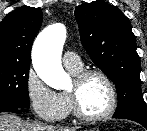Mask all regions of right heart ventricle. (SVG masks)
Returning <instances> with one entry per match:
<instances>
[{"label":"right heart ventricle","mask_w":147,"mask_h":131,"mask_svg":"<svg viewBox=\"0 0 147 131\" xmlns=\"http://www.w3.org/2000/svg\"><path fill=\"white\" fill-rule=\"evenodd\" d=\"M73 75H76L77 73H79L80 71H82V68L79 69V70H70L68 69ZM63 97V99L65 100V103H66V106H67V111H66V115L67 116L71 111H72V107H71V102H70V99H69V96L67 94V92H63V93H60Z\"/></svg>","instance_id":"right-heart-ventricle-1"}]
</instances>
